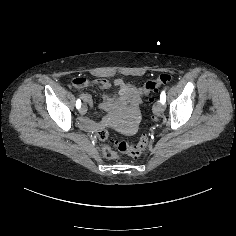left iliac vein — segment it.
Instances as JSON below:
<instances>
[{
    "label": "left iliac vein",
    "mask_w": 236,
    "mask_h": 236,
    "mask_svg": "<svg viewBox=\"0 0 236 236\" xmlns=\"http://www.w3.org/2000/svg\"><path fill=\"white\" fill-rule=\"evenodd\" d=\"M153 109L156 113H162L165 110V107L161 102H158L154 105Z\"/></svg>",
    "instance_id": "obj_1"
}]
</instances>
